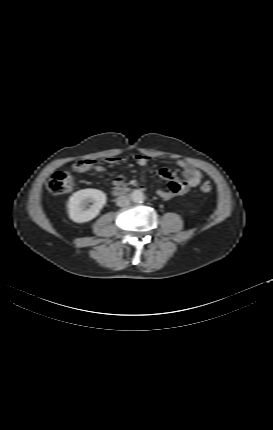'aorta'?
<instances>
[{
    "label": "aorta",
    "mask_w": 273,
    "mask_h": 430,
    "mask_svg": "<svg viewBox=\"0 0 273 430\" xmlns=\"http://www.w3.org/2000/svg\"><path fill=\"white\" fill-rule=\"evenodd\" d=\"M130 199L134 203H141L144 201L145 195L141 190L135 189L130 193Z\"/></svg>",
    "instance_id": "762f6f07"
}]
</instances>
